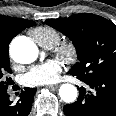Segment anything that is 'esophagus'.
Instances as JSON below:
<instances>
[{"label":"esophagus","mask_w":116,"mask_h":116,"mask_svg":"<svg viewBox=\"0 0 116 116\" xmlns=\"http://www.w3.org/2000/svg\"><path fill=\"white\" fill-rule=\"evenodd\" d=\"M59 84H55V85H49L47 86L48 88H58Z\"/></svg>","instance_id":"1"}]
</instances>
